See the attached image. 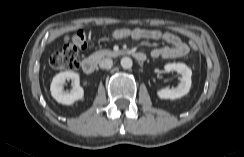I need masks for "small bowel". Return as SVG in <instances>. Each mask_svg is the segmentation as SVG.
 <instances>
[{"label": "small bowel", "instance_id": "1", "mask_svg": "<svg viewBox=\"0 0 244 157\" xmlns=\"http://www.w3.org/2000/svg\"><path fill=\"white\" fill-rule=\"evenodd\" d=\"M134 40H162L168 45L155 48L151 51V57L154 59H173L185 56L189 52L188 45L178 36L171 32H164L153 29H134L131 37Z\"/></svg>", "mask_w": 244, "mask_h": 157}]
</instances>
